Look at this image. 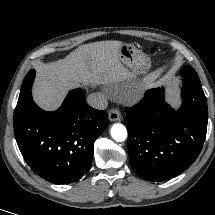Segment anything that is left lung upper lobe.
Listing matches in <instances>:
<instances>
[{"mask_svg":"<svg viewBox=\"0 0 215 215\" xmlns=\"http://www.w3.org/2000/svg\"><path fill=\"white\" fill-rule=\"evenodd\" d=\"M180 73L184 81H188L192 83H200L197 73L189 66H184L183 69L180 71Z\"/></svg>","mask_w":215,"mask_h":215,"instance_id":"left-lung-upper-lobe-1","label":"left lung upper lobe"}]
</instances>
